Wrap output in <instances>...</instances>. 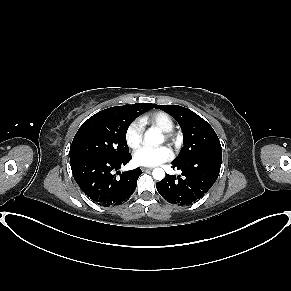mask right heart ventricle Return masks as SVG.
<instances>
[{
  "label": "right heart ventricle",
  "mask_w": 291,
  "mask_h": 291,
  "mask_svg": "<svg viewBox=\"0 0 291 291\" xmlns=\"http://www.w3.org/2000/svg\"><path fill=\"white\" fill-rule=\"evenodd\" d=\"M142 124H149L160 129L163 132L172 131L174 128L173 118L164 111H155L147 113L142 117Z\"/></svg>",
  "instance_id": "e07e8e85"
}]
</instances>
